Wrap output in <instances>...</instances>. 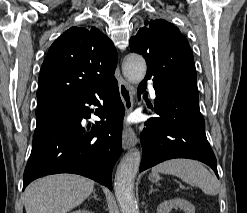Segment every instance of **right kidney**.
Listing matches in <instances>:
<instances>
[{
	"mask_svg": "<svg viewBox=\"0 0 247 213\" xmlns=\"http://www.w3.org/2000/svg\"><path fill=\"white\" fill-rule=\"evenodd\" d=\"M71 213H94V212L88 211L86 209H78V210H75Z\"/></svg>",
	"mask_w": 247,
	"mask_h": 213,
	"instance_id": "right-kidney-1",
	"label": "right kidney"
}]
</instances>
